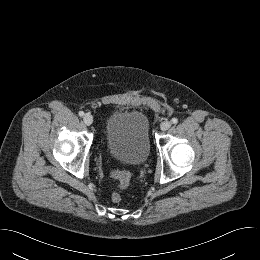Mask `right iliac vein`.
I'll list each match as a JSON object with an SVG mask.
<instances>
[{
    "mask_svg": "<svg viewBox=\"0 0 260 260\" xmlns=\"http://www.w3.org/2000/svg\"><path fill=\"white\" fill-rule=\"evenodd\" d=\"M84 120V123L87 125V126H90L92 123H93V117L91 114H86L83 118Z\"/></svg>",
    "mask_w": 260,
    "mask_h": 260,
    "instance_id": "obj_1",
    "label": "right iliac vein"
}]
</instances>
